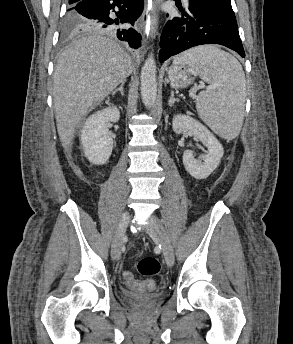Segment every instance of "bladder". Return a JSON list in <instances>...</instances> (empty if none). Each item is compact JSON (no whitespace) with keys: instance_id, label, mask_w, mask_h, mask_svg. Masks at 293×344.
<instances>
[{"instance_id":"obj_1","label":"bladder","mask_w":293,"mask_h":344,"mask_svg":"<svg viewBox=\"0 0 293 344\" xmlns=\"http://www.w3.org/2000/svg\"><path fill=\"white\" fill-rule=\"evenodd\" d=\"M123 295L128 300L142 302L146 304H154L161 298L160 294L140 295L132 291H124Z\"/></svg>"}]
</instances>
